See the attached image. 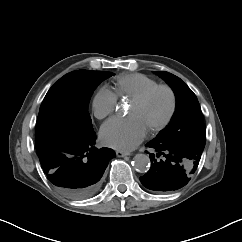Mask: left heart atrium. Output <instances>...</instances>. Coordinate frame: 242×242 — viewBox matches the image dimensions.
Masks as SVG:
<instances>
[{"label": "left heart atrium", "mask_w": 242, "mask_h": 242, "mask_svg": "<svg viewBox=\"0 0 242 242\" xmlns=\"http://www.w3.org/2000/svg\"><path fill=\"white\" fill-rule=\"evenodd\" d=\"M147 130L138 119L132 115L112 117L106 121L100 130L102 142L114 149L130 151L146 136Z\"/></svg>", "instance_id": "left-heart-atrium-1"}]
</instances>
